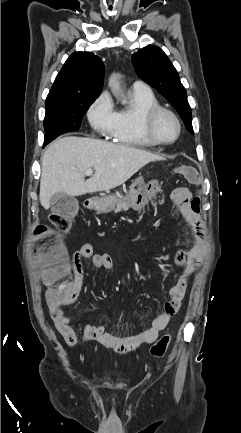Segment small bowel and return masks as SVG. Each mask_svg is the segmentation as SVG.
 Returning <instances> with one entry per match:
<instances>
[{
	"label": "small bowel",
	"instance_id": "obj_1",
	"mask_svg": "<svg viewBox=\"0 0 241 433\" xmlns=\"http://www.w3.org/2000/svg\"><path fill=\"white\" fill-rule=\"evenodd\" d=\"M172 200L191 228L193 245L189 251H179L174 256V263L177 266L183 267V273L177 283L170 288L169 299L164 303L163 313L157 316L148 328L126 336L109 333L103 325L85 324L82 327V335L85 339L95 341L106 349L131 353L138 350L144 344L154 342L159 332L168 325L179 311L187 286L180 287L179 283L182 279L187 280V277L200 267L206 253V243L204 225L199 216L200 206L198 210L193 209L194 197L191 191L184 187L177 188L172 194ZM87 258L91 259L92 265L97 269L112 270L113 268V262L109 255L93 254L90 244L82 245L71 256L75 282L70 297L58 306L49 307L51 318L57 330L70 347L75 346L77 343V334L73 328L72 320L66 315L62 307L71 305L76 300L84 277L82 259ZM111 342H125L126 347L117 350L111 345Z\"/></svg>",
	"mask_w": 241,
	"mask_h": 433
}]
</instances>
